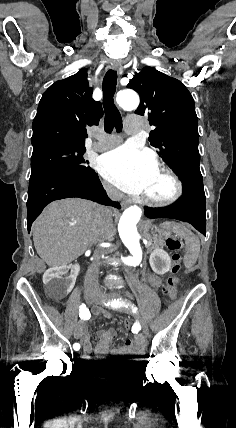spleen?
<instances>
[{
    "mask_svg": "<svg viewBox=\"0 0 236 428\" xmlns=\"http://www.w3.org/2000/svg\"><path fill=\"white\" fill-rule=\"evenodd\" d=\"M166 230H170V232H175L177 236L180 238H184L186 244L187 254L184 256V264L186 268H191L194 266L200 252V242L199 238L191 232V230H187L184 226H180V224H174V222H166L163 224Z\"/></svg>",
    "mask_w": 236,
    "mask_h": 428,
    "instance_id": "3e777b00",
    "label": "spleen"
}]
</instances>
